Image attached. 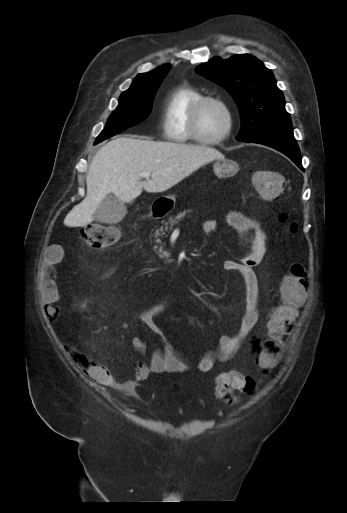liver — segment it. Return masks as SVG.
<instances>
[{"instance_id": "6515ba94", "label": "liver", "mask_w": 347, "mask_h": 513, "mask_svg": "<svg viewBox=\"0 0 347 513\" xmlns=\"http://www.w3.org/2000/svg\"><path fill=\"white\" fill-rule=\"evenodd\" d=\"M215 159H224V155L204 145L133 137L111 140L94 156L86 177L87 195L66 215L64 224L82 227L91 223L107 194L130 203L143 189L148 193L164 192ZM142 172L151 173V179L141 181Z\"/></svg>"}]
</instances>
